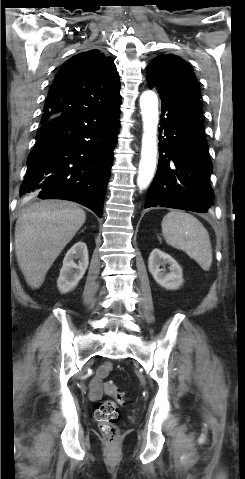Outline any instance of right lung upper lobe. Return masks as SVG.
I'll use <instances>...</instances> for the list:
<instances>
[{
    "mask_svg": "<svg viewBox=\"0 0 245 479\" xmlns=\"http://www.w3.org/2000/svg\"><path fill=\"white\" fill-rule=\"evenodd\" d=\"M120 80L111 57L98 50L77 54L56 74L41 123L57 116L120 105Z\"/></svg>",
    "mask_w": 245,
    "mask_h": 479,
    "instance_id": "right-lung-upper-lobe-1",
    "label": "right lung upper lobe"
}]
</instances>
